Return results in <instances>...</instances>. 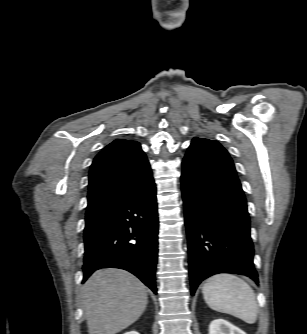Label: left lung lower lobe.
<instances>
[{"label": "left lung lower lobe", "instance_id": "0a47b994", "mask_svg": "<svg viewBox=\"0 0 307 334\" xmlns=\"http://www.w3.org/2000/svg\"><path fill=\"white\" fill-rule=\"evenodd\" d=\"M191 294L217 273L249 276L256 283L250 220L238 180L183 168L181 175Z\"/></svg>", "mask_w": 307, "mask_h": 334}]
</instances>
